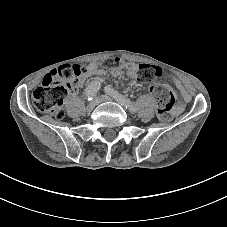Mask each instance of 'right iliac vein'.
I'll use <instances>...</instances> for the list:
<instances>
[{
    "label": "right iliac vein",
    "instance_id": "obj_1",
    "mask_svg": "<svg viewBox=\"0 0 227 227\" xmlns=\"http://www.w3.org/2000/svg\"><path fill=\"white\" fill-rule=\"evenodd\" d=\"M100 103V100L98 98L92 100L88 106H87V110H93L98 104Z\"/></svg>",
    "mask_w": 227,
    "mask_h": 227
}]
</instances>
